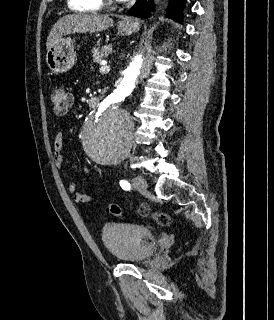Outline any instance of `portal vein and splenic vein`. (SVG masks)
Segmentation results:
<instances>
[{
    "mask_svg": "<svg viewBox=\"0 0 274 320\" xmlns=\"http://www.w3.org/2000/svg\"><path fill=\"white\" fill-rule=\"evenodd\" d=\"M106 68H109V66H107V62H102L100 70H106Z\"/></svg>",
    "mask_w": 274,
    "mask_h": 320,
    "instance_id": "portal-vein-and-splenic-vein-1",
    "label": "portal vein and splenic vein"
}]
</instances>
